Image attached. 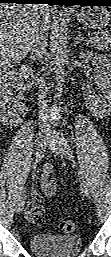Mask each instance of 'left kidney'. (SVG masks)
<instances>
[{
  "mask_svg": "<svg viewBox=\"0 0 111 257\" xmlns=\"http://www.w3.org/2000/svg\"><path fill=\"white\" fill-rule=\"evenodd\" d=\"M79 58L84 63L92 61L98 81L103 88L102 95H92L89 106L96 114L111 111V62L107 56L92 51H82Z\"/></svg>",
  "mask_w": 111,
  "mask_h": 257,
  "instance_id": "5707ae66",
  "label": "left kidney"
}]
</instances>
